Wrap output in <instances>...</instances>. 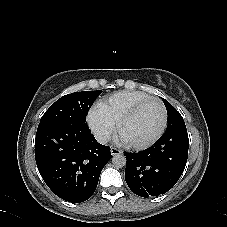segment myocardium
<instances>
[{
	"instance_id": "myocardium-1",
	"label": "myocardium",
	"mask_w": 227,
	"mask_h": 227,
	"mask_svg": "<svg viewBox=\"0 0 227 227\" xmlns=\"http://www.w3.org/2000/svg\"><path fill=\"white\" fill-rule=\"evenodd\" d=\"M151 101H155L158 102L161 107H162V111H163V120H162V124L159 128V130L156 132V134L150 138L149 140L145 141V142H141V143H128V146H130L131 148L134 149H146L149 148L150 146L154 145L164 134L167 125H168V111L166 108V105L164 104V102L157 98V97H148L142 101H140L139 103H137L136 105H134L128 112H126L118 121L117 123V132L119 135H121V131L122 128L124 127V125L126 123H128L136 114L137 112L140 110L141 107H143L145 104H147L148 102Z\"/></svg>"
}]
</instances>
